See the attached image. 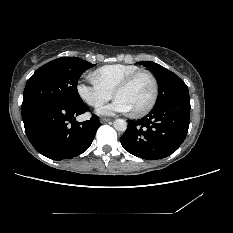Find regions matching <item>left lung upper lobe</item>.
Returning <instances> with one entry per match:
<instances>
[{
  "instance_id": "5c2ea615",
  "label": "left lung upper lobe",
  "mask_w": 233,
  "mask_h": 233,
  "mask_svg": "<svg viewBox=\"0 0 233 233\" xmlns=\"http://www.w3.org/2000/svg\"><path fill=\"white\" fill-rule=\"evenodd\" d=\"M151 70L157 78L159 95L154 107L189 98L187 85L173 72L152 61L137 62Z\"/></svg>"
}]
</instances>
